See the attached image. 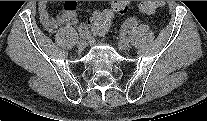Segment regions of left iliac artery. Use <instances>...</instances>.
Returning a JSON list of instances; mask_svg holds the SVG:
<instances>
[{
  "instance_id": "obj_1",
  "label": "left iliac artery",
  "mask_w": 207,
  "mask_h": 121,
  "mask_svg": "<svg viewBox=\"0 0 207 121\" xmlns=\"http://www.w3.org/2000/svg\"><path fill=\"white\" fill-rule=\"evenodd\" d=\"M137 22V16L131 15L130 18H127L124 23L121 25V34L127 35L130 32L131 26L135 25Z\"/></svg>"
}]
</instances>
